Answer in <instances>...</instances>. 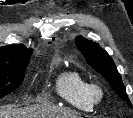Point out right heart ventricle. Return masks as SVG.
Here are the masks:
<instances>
[{"label":"right heart ventricle","mask_w":133,"mask_h":118,"mask_svg":"<svg viewBox=\"0 0 133 118\" xmlns=\"http://www.w3.org/2000/svg\"><path fill=\"white\" fill-rule=\"evenodd\" d=\"M90 86L89 81L75 70L62 73L56 80L58 96L65 103L82 112H92L95 108Z\"/></svg>","instance_id":"1"}]
</instances>
